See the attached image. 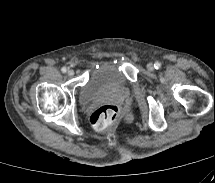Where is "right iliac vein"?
Instances as JSON below:
<instances>
[{"instance_id":"right-iliac-vein-1","label":"right iliac vein","mask_w":215,"mask_h":183,"mask_svg":"<svg viewBox=\"0 0 215 183\" xmlns=\"http://www.w3.org/2000/svg\"><path fill=\"white\" fill-rule=\"evenodd\" d=\"M68 76H73L75 74L74 70L70 69L67 72Z\"/></svg>"}]
</instances>
